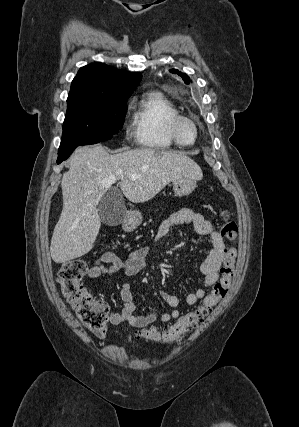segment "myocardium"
Instances as JSON below:
<instances>
[{"label": "myocardium", "instance_id": "f54148a6", "mask_svg": "<svg viewBox=\"0 0 299 427\" xmlns=\"http://www.w3.org/2000/svg\"><path fill=\"white\" fill-rule=\"evenodd\" d=\"M182 122H189L194 128V139L191 142H183L179 135V126ZM168 133L175 144L181 147H189L196 143L199 137L197 122L190 116L178 114L171 118L167 125Z\"/></svg>", "mask_w": 299, "mask_h": 427}]
</instances>
